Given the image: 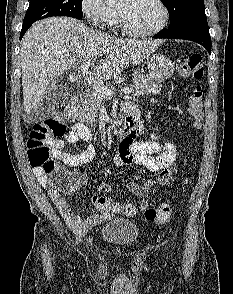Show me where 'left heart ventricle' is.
I'll use <instances>...</instances> for the list:
<instances>
[{
  "label": "left heart ventricle",
  "instance_id": "left-heart-ventricle-1",
  "mask_svg": "<svg viewBox=\"0 0 233 294\" xmlns=\"http://www.w3.org/2000/svg\"><path fill=\"white\" fill-rule=\"evenodd\" d=\"M129 25L138 31H149L162 20V11L154 0H123L119 6Z\"/></svg>",
  "mask_w": 233,
  "mask_h": 294
}]
</instances>
